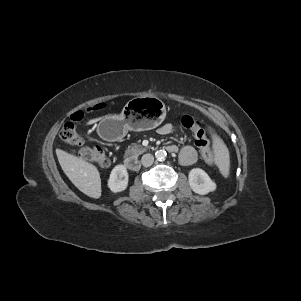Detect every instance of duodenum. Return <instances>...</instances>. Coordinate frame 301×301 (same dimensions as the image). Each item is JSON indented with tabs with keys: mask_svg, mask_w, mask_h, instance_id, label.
Returning <instances> with one entry per match:
<instances>
[{
	"mask_svg": "<svg viewBox=\"0 0 301 301\" xmlns=\"http://www.w3.org/2000/svg\"><path fill=\"white\" fill-rule=\"evenodd\" d=\"M166 150L171 153H174L177 151V147L174 145H169V146H166ZM124 164L130 170H137L139 168L138 160L133 157L126 158Z\"/></svg>",
	"mask_w": 301,
	"mask_h": 301,
	"instance_id": "1",
	"label": "duodenum"
}]
</instances>
